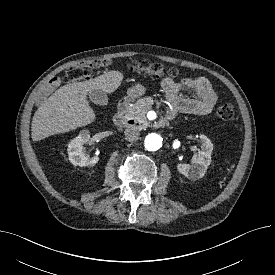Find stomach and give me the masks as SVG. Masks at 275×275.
<instances>
[{"mask_svg":"<svg viewBox=\"0 0 275 275\" xmlns=\"http://www.w3.org/2000/svg\"><path fill=\"white\" fill-rule=\"evenodd\" d=\"M145 93V88L142 85H135L128 89L127 95L131 99L138 98Z\"/></svg>","mask_w":275,"mask_h":275,"instance_id":"obj_1","label":"stomach"}]
</instances>
